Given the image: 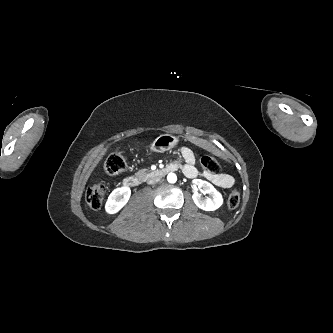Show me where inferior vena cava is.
Wrapping results in <instances>:
<instances>
[{
  "mask_svg": "<svg viewBox=\"0 0 333 333\" xmlns=\"http://www.w3.org/2000/svg\"><path fill=\"white\" fill-rule=\"evenodd\" d=\"M160 179H161V177H154V178H151L150 180H148V184H154V183H156V182H158V181H160Z\"/></svg>",
  "mask_w": 333,
  "mask_h": 333,
  "instance_id": "obj_1",
  "label": "inferior vena cava"
}]
</instances>
